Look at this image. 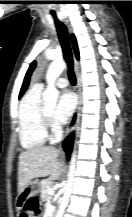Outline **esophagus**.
<instances>
[{
    "label": "esophagus",
    "mask_w": 132,
    "mask_h": 217,
    "mask_svg": "<svg viewBox=\"0 0 132 217\" xmlns=\"http://www.w3.org/2000/svg\"><path fill=\"white\" fill-rule=\"evenodd\" d=\"M74 71H75V75H76V93H77L78 102H77L76 110H75V112H74V114H73V116L69 122V125L66 129L65 136H68L76 127V124L79 120L81 101H82L79 63L75 57H74Z\"/></svg>",
    "instance_id": "obj_1"
}]
</instances>
